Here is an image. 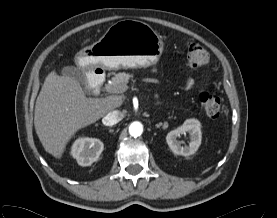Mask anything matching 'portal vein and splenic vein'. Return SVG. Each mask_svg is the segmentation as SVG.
Returning <instances> with one entry per match:
<instances>
[{
    "label": "portal vein and splenic vein",
    "mask_w": 277,
    "mask_h": 218,
    "mask_svg": "<svg viewBox=\"0 0 277 218\" xmlns=\"http://www.w3.org/2000/svg\"><path fill=\"white\" fill-rule=\"evenodd\" d=\"M107 91H108V92H111L109 88H107Z\"/></svg>",
    "instance_id": "1"
}]
</instances>
